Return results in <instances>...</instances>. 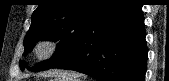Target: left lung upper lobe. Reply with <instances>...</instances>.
Instances as JSON below:
<instances>
[{
    "label": "left lung upper lobe",
    "mask_w": 169,
    "mask_h": 81,
    "mask_svg": "<svg viewBox=\"0 0 169 81\" xmlns=\"http://www.w3.org/2000/svg\"><path fill=\"white\" fill-rule=\"evenodd\" d=\"M113 0H42L33 12L31 26L24 38V55L40 40L59 41L51 59L33 68L20 61V68L33 72L54 68L66 61L87 26L96 19Z\"/></svg>",
    "instance_id": "obj_1"
}]
</instances>
